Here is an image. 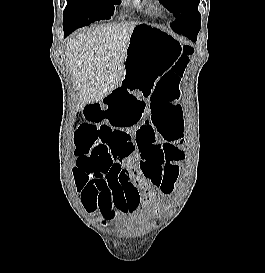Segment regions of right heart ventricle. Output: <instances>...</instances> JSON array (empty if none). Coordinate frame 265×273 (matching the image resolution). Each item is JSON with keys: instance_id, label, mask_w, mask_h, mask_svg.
Returning <instances> with one entry per match:
<instances>
[{"instance_id": "right-heart-ventricle-1", "label": "right heart ventricle", "mask_w": 265, "mask_h": 273, "mask_svg": "<svg viewBox=\"0 0 265 273\" xmlns=\"http://www.w3.org/2000/svg\"><path fill=\"white\" fill-rule=\"evenodd\" d=\"M148 9L154 14H157V12H158V8L155 5V3H150L148 6Z\"/></svg>"}]
</instances>
